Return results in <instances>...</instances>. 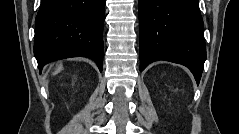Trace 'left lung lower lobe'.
<instances>
[{"mask_svg":"<svg viewBox=\"0 0 239 134\" xmlns=\"http://www.w3.org/2000/svg\"><path fill=\"white\" fill-rule=\"evenodd\" d=\"M140 71L157 60L185 65L200 82L206 59L198 0H139Z\"/></svg>","mask_w":239,"mask_h":134,"instance_id":"left-lung-lower-lobe-1","label":"left lung lower lobe"}]
</instances>
